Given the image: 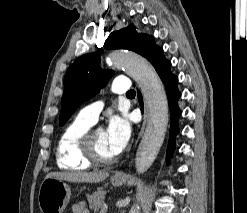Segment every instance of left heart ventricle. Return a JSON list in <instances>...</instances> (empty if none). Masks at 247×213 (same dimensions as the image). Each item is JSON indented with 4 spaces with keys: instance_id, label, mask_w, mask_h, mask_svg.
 Returning a JSON list of instances; mask_svg holds the SVG:
<instances>
[{
    "instance_id": "left-heart-ventricle-1",
    "label": "left heart ventricle",
    "mask_w": 247,
    "mask_h": 213,
    "mask_svg": "<svg viewBox=\"0 0 247 213\" xmlns=\"http://www.w3.org/2000/svg\"><path fill=\"white\" fill-rule=\"evenodd\" d=\"M94 149L99 158L109 159L114 157L106 140V132L104 130H96L94 134Z\"/></svg>"
}]
</instances>
